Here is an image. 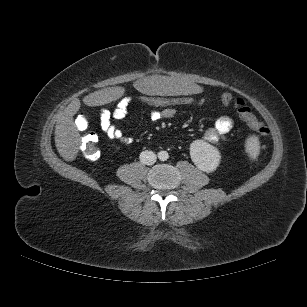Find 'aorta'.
<instances>
[{
  "mask_svg": "<svg viewBox=\"0 0 307 307\" xmlns=\"http://www.w3.org/2000/svg\"><path fill=\"white\" fill-rule=\"evenodd\" d=\"M158 158L161 161H166L169 158V154H168L167 151H164V150L159 151L158 152Z\"/></svg>",
  "mask_w": 307,
  "mask_h": 307,
  "instance_id": "762f6f07",
  "label": "aorta"
}]
</instances>
